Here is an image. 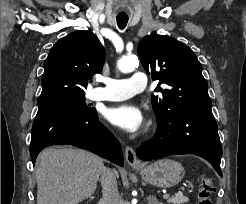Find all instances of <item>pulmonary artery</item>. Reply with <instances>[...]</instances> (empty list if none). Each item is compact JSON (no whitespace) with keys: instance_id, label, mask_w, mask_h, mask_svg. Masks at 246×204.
Instances as JSON below:
<instances>
[{"instance_id":"1","label":"pulmonary artery","mask_w":246,"mask_h":204,"mask_svg":"<svg viewBox=\"0 0 246 204\" xmlns=\"http://www.w3.org/2000/svg\"><path fill=\"white\" fill-rule=\"evenodd\" d=\"M104 87L95 88L90 98L101 101H120L128 99L145 90L147 76L143 72H135L127 79L104 78Z\"/></svg>"}]
</instances>
